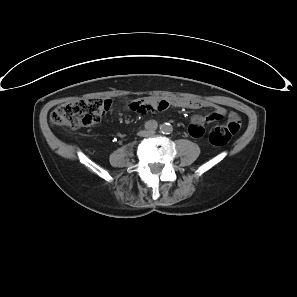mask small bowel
Here are the masks:
<instances>
[{"label":"small bowel","instance_id":"small-bowel-1","mask_svg":"<svg viewBox=\"0 0 297 297\" xmlns=\"http://www.w3.org/2000/svg\"><path fill=\"white\" fill-rule=\"evenodd\" d=\"M170 106L187 109L214 108V113L210 115H195L192 117L188 131L189 134L195 138L203 135L206 125L223 118L228 113L224 107L217 106L211 102L186 98H177L171 100L142 99L133 101L127 105L129 109L137 111L140 114H145L150 111H163ZM236 116L237 115L235 113L229 114L230 119Z\"/></svg>","mask_w":297,"mask_h":297}]
</instances>
